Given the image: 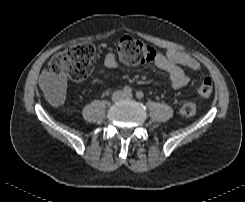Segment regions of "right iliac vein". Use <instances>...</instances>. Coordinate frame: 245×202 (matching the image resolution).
<instances>
[{
  "instance_id": "right-iliac-vein-1",
  "label": "right iliac vein",
  "mask_w": 245,
  "mask_h": 202,
  "mask_svg": "<svg viewBox=\"0 0 245 202\" xmlns=\"http://www.w3.org/2000/svg\"><path fill=\"white\" fill-rule=\"evenodd\" d=\"M122 98H123V93L120 92V91L115 92V93L113 94V96H112V100H113L114 102H117V101L121 100Z\"/></svg>"
}]
</instances>
